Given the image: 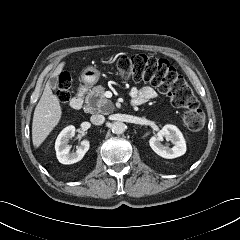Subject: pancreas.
Returning <instances> with one entry per match:
<instances>
[{"mask_svg": "<svg viewBox=\"0 0 240 240\" xmlns=\"http://www.w3.org/2000/svg\"><path fill=\"white\" fill-rule=\"evenodd\" d=\"M105 88L101 85L93 87L89 90L85 101V111L89 113H109L114 109V105L111 100L107 99L104 95Z\"/></svg>", "mask_w": 240, "mask_h": 240, "instance_id": "pancreas-1", "label": "pancreas"}]
</instances>
